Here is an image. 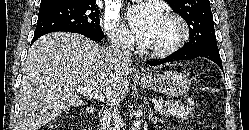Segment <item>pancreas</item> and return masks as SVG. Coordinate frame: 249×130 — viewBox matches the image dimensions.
Listing matches in <instances>:
<instances>
[{"label":"pancreas","instance_id":"1","mask_svg":"<svg viewBox=\"0 0 249 130\" xmlns=\"http://www.w3.org/2000/svg\"><path fill=\"white\" fill-rule=\"evenodd\" d=\"M159 102L165 103L164 108L161 110V114L181 119L194 118L195 107L193 102L184 104L177 101H164L162 98L159 99Z\"/></svg>","mask_w":249,"mask_h":130}]
</instances>
